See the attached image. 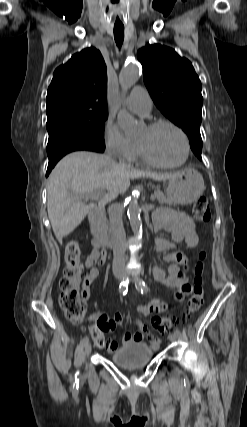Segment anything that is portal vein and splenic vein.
<instances>
[{"label":"portal vein and splenic vein","instance_id":"18ae733b","mask_svg":"<svg viewBox=\"0 0 247 427\" xmlns=\"http://www.w3.org/2000/svg\"><path fill=\"white\" fill-rule=\"evenodd\" d=\"M100 195H101V191H100V190H98V191H96V192H94V193H91V194H84V196H90V197H93V196H100ZM155 198H156V195H155V194H152V195L150 196L151 201H154V200H155Z\"/></svg>","mask_w":247,"mask_h":427}]
</instances>
